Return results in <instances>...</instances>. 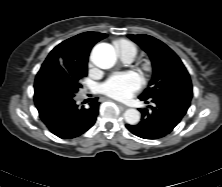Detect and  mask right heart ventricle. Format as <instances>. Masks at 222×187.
<instances>
[{
  "mask_svg": "<svg viewBox=\"0 0 222 187\" xmlns=\"http://www.w3.org/2000/svg\"><path fill=\"white\" fill-rule=\"evenodd\" d=\"M117 45L120 50L127 48V47H133L132 44H130L129 42H125V41L119 42Z\"/></svg>",
  "mask_w": 222,
  "mask_h": 187,
  "instance_id": "obj_1",
  "label": "right heart ventricle"
}]
</instances>
